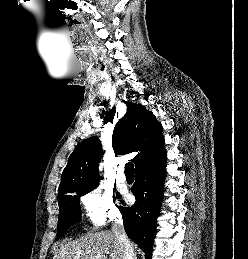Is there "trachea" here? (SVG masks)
<instances>
[{"mask_svg":"<svg viewBox=\"0 0 248 259\" xmlns=\"http://www.w3.org/2000/svg\"><path fill=\"white\" fill-rule=\"evenodd\" d=\"M125 174L126 175H134V165H133V163H127L125 165Z\"/></svg>","mask_w":248,"mask_h":259,"instance_id":"1","label":"trachea"}]
</instances>
